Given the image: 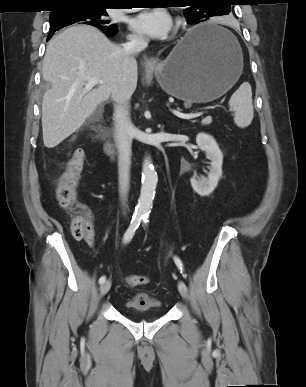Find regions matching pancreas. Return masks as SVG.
Returning <instances> with one entry per match:
<instances>
[{
  "instance_id": "pancreas-1",
  "label": "pancreas",
  "mask_w": 306,
  "mask_h": 387,
  "mask_svg": "<svg viewBox=\"0 0 306 387\" xmlns=\"http://www.w3.org/2000/svg\"><path fill=\"white\" fill-rule=\"evenodd\" d=\"M192 122H196V121L194 120V121H192ZM211 122H212V119H211V118H205V119L202 120V124H203V125H208V124H210Z\"/></svg>"
}]
</instances>
